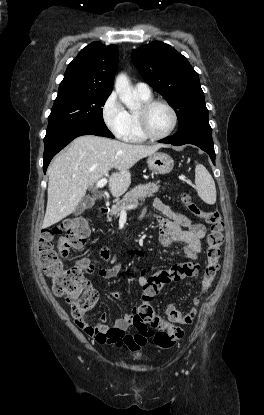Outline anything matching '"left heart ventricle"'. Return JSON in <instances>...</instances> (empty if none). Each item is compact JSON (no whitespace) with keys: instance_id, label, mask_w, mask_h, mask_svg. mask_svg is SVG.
Here are the masks:
<instances>
[{"instance_id":"1","label":"left heart ventricle","mask_w":264,"mask_h":415,"mask_svg":"<svg viewBox=\"0 0 264 415\" xmlns=\"http://www.w3.org/2000/svg\"><path fill=\"white\" fill-rule=\"evenodd\" d=\"M147 121L150 132L161 135L170 128L172 114L165 106L157 105L149 111Z\"/></svg>"}]
</instances>
